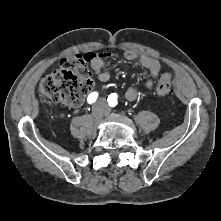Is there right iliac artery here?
<instances>
[{
  "label": "right iliac artery",
  "instance_id": "obj_1",
  "mask_svg": "<svg viewBox=\"0 0 221 221\" xmlns=\"http://www.w3.org/2000/svg\"><path fill=\"white\" fill-rule=\"evenodd\" d=\"M97 97H98V93L97 92H92V93L89 94V96L87 98V102L89 104H93L97 100Z\"/></svg>",
  "mask_w": 221,
  "mask_h": 221
}]
</instances>
